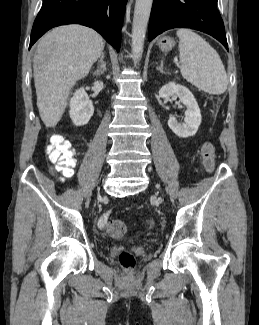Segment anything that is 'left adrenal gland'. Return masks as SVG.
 Here are the masks:
<instances>
[{
  "mask_svg": "<svg viewBox=\"0 0 259 325\" xmlns=\"http://www.w3.org/2000/svg\"><path fill=\"white\" fill-rule=\"evenodd\" d=\"M157 70L160 71V73L162 74H166L163 70V60L160 61V66L157 67Z\"/></svg>",
  "mask_w": 259,
  "mask_h": 325,
  "instance_id": "left-adrenal-gland-1",
  "label": "left adrenal gland"
}]
</instances>
